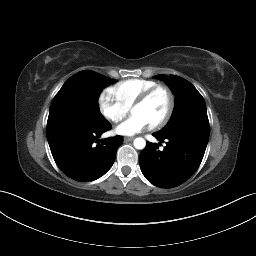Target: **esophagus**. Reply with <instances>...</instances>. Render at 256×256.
I'll return each instance as SVG.
<instances>
[{"mask_svg": "<svg viewBox=\"0 0 256 256\" xmlns=\"http://www.w3.org/2000/svg\"><path fill=\"white\" fill-rule=\"evenodd\" d=\"M132 140H134V137H124L125 142H129V141H132Z\"/></svg>", "mask_w": 256, "mask_h": 256, "instance_id": "esophagus-1", "label": "esophagus"}]
</instances>
